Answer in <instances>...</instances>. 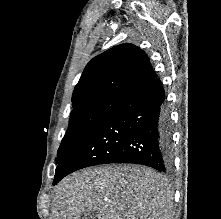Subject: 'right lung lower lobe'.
<instances>
[{"instance_id": "1", "label": "right lung lower lobe", "mask_w": 221, "mask_h": 219, "mask_svg": "<svg viewBox=\"0 0 221 219\" xmlns=\"http://www.w3.org/2000/svg\"><path fill=\"white\" fill-rule=\"evenodd\" d=\"M165 92L158 78L125 96L94 133L57 166L53 185L78 169L134 163L168 172L172 134Z\"/></svg>"}]
</instances>
